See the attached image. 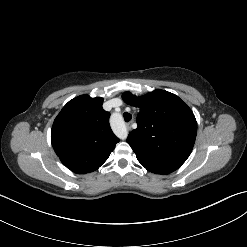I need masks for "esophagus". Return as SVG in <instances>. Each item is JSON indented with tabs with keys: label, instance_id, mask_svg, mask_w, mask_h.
Segmentation results:
<instances>
[{
	"label": "esophagus",
	"instance_id": "obj_1",
	"mask_svg": "<svg viewBox=\"0 0 247 247\" xmlns=\"http://www.w3.org/2000/svg\"><path fill=\"white\" fill-rule=\"evenodd\" d=\"M126 127L129 129L130 128V123H127L126 124Z\"/></svg>",
	"mask_w": 247,
	"mask_h": 247
}]
</instances>
